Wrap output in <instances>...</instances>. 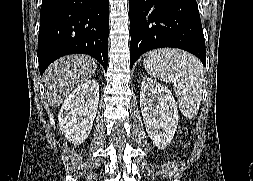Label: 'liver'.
<instances>
[{"instance_id": "6515ba94", "label": "liver", "mask_w": 253, "mask_h": 181, "mask_svg": "<svg viewBox=\"0 0 253 181\" xmlns=\"http://www.w3.org/2000/svg\"><path fill=\"white\" fill-rule=\"evenodd\" d=\"M96 68L95 60L86 55H70L55 61L44 74L50 105L59 106L72 89L91 79Z\"/></svg>"}]
</instances>
